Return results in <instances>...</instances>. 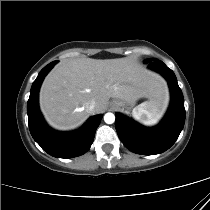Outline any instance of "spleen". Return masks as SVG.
Instances as JSON below:
<instances>
[{"label": "spleen", "instance_id": "obj_1", "mask_svg": "<svg viewBox=\"0 0 210 210\" xmlns=\"http://www.w3.org/2000/svg\"><path fill=\"white\" fill-rule=\"evenodd\" d=\"M165 104L156 100H149L133 109L132 115L135 120L144 125L152 126L155 125L161 117Z\"/></svg>", "mask_w": 210, "mask_h": 210}]
</instances>
